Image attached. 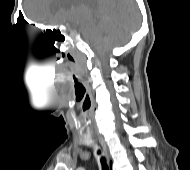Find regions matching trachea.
<instances>
[{
  "instance_id": "trachea-1",
  "label": "trachea",
  "mask_w": 190,
  "mask_h": 170,
  "mask_svg": "<svg viewBox=\"0 0 190 170\" xmlns=\"http://www.w3.org/2000/svg\"><path fill=\"white\" fill-rule=\"evenodd\" d=\"M98 153H100V151ZM101 163H102V170H108L106 159L104 157H101Z\"/></svg>"
}]
</instances>
